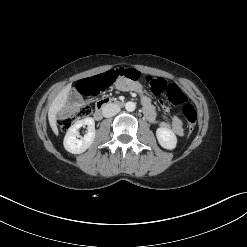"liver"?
Instances as JSON below:
<instances>
[{
    "label": "liver",
    "mask_w": 247,
    "mask_h": 247,
    "mask_svg": "<svg viewBox=\"0 0 247 247\" xmlns=\"http://www.w3.org/2000/svg\"><path fill=\"white\" fill-rule=\"evenodd\" d=\"M71 90V84H68L65 88H63L59 94L55 97V99L52 101L49 110H48V120L50 127L55 135H58V128H57V114L59 111L63 109L65 106L69 91Z\"/></svg>",
    "instance_id": "liver-1"
}]
</instances>
